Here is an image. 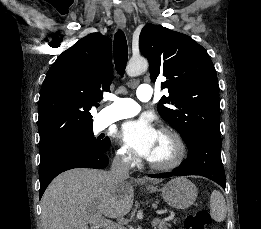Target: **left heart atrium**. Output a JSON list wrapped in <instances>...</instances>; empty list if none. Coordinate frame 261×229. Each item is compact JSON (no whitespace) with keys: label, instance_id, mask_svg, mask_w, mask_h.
I'll use <instances>...</instances> for the list:
<instances>
[{"label":"left heart atrium","instance_id":"obj_1","mask_svg":"<svg viewBox=\"0 0 261 229\" xmlns=\"http://www.w3.org/2000/svg\"><path fill=\"white\" fill-rule=\"evenodd\" d=\"M158 135V131L148 121L126 122L119 131V137L138 156L148 160L154 150Z\"/></svg>","mask_w":261,"mask_h":229}]
</instances>
